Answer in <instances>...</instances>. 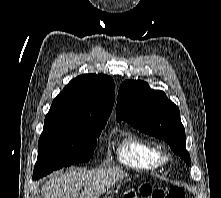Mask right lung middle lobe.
Wrapping results in <instances>:
<instances>
[{"label": "right lung middle lobe", "instance_id": "right-lung-middle-lobe-1", "mask_svg": "<svg viewBox=\"0 0 221 198\" xmlns=\"http://www.w3.org/2000/svg\"><path fill=\"white\" fill-rule=\"evenodd\" d=\"M104 126L88 132L43 131L38 144V157L33 171L37 180L54 170L74 163L87 162L93 157Z\"/></svg>", "mask_w": 221, "mask_h": 198}]
</instances>
